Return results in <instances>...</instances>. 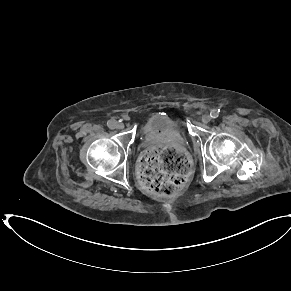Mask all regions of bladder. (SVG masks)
<instances>
[{"instance_id": "obj_1", "label": "bladder", "mask_w": 291, "mask_h": 291, "mask_svg": "<svg viewBox=\"0 0 291 291\" xmlns=\"http://www.w3.org/2000/svg\"><path fill=\"white\" fill-rule=\"evenodd\" d=\"M140 136L143 139H153L158 136H167L179 141L185 137V128L179 119L167 115L150 117L142 126Z\"/></svg>"}]
</instances>
